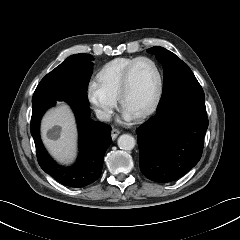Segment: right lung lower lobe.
Segmentation results:
<instances>
[{"label": "right lung lower lobe", "mask_w": 240, "mask_h": 240, "mask_svg": "<svg viewBox=\"0 0 240 240\" xmlns=\"http://www.w3.org/2000/svg\"><path fill=\"white\" fill-rule=\"evenodd\" d=\"M56 104L54 99L33 103L31 135L36 146L40 167L59 183L80 188L96 181L102 171L104 155L111 144L110 127L90 119L89 105L68 102L73 109L79 129V157L71 167L58 165L46 152L40 139V120L44 112Z\"/></svg>", "instance_id": "obj_1"}]
</instances>
